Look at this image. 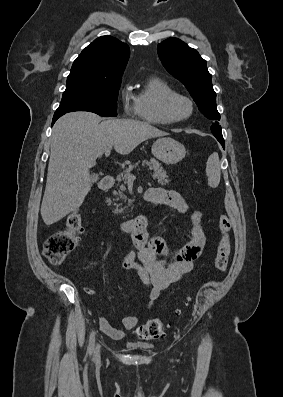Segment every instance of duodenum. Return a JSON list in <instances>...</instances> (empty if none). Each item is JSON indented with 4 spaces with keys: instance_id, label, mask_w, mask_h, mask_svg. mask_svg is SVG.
Listing matches in <instances>:
<instances>
[{
    "instance_id": "410a0bca",
    "label": "duodenum",
    "mask_w": 283,
    "mask_h": 397,
    "mask_svg": "<svg viewBox=\"0 0 283 397\" xmlns=\"http://www.w3.org/2000/svg\"><path fill=\"white\" fill-rule=\"evenodd\" d=\"M114 185V178L112 176H105L99 184V187L102 191H109ZM145 199L146 195H145ZM148 223V219L145 215H139L134 218H130L126 221H123L120 224V228L123 232L126 233H134L136 231H140L142 229H145L146 225Z\"/></svg>"
}]
</instances>
